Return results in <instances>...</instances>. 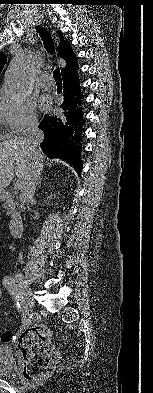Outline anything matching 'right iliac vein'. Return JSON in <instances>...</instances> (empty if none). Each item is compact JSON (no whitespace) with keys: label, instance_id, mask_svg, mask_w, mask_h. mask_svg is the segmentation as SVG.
I'll return each instance as SVG.
<instances>
[{"label":"right iliac vein","instance_id":"1","mask_svg":"<svg viewBox=\"0 0 153 393\" xmlns=\"http://www.w3.org/2000/svg\"><path fill=\"white\" fill-rule=\"evenodd\" d=\"M16 280L19 283L20 291H21L22 295L25 297L27 305L29 307H33L35 302L33 299L32 290H31L28 282L26 281L24 276L20 275V274L16 276Z\"/></svg>","mask_w":153,"mask_h":393}]
</instances>
